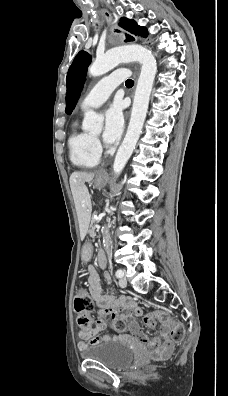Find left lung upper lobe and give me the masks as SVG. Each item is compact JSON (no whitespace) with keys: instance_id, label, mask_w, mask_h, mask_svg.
I'll return each mask as SVG.
<instances>
[{"instance_id":"1","label":"left lung upper lobe","mask_w":228,"mask_h":396,"mask_svg":"<svg viewBox=\"0 0 228 396\" xmlns=\"http://www.w3.org/2000/svg\"><path fill=\"white\" fill-rule=\"evenodd\" d=\"M120 23L118 24L122 28L131 32L134 35H140L142 37H146L148 35L146 28L137 25L134 20L121 18ZM133 37L131 35H126V42L133 41ZM91 62V56L85 52L80 51L74 58L72 65L69 68L66 84H67V93H66V113L71 114L75 105L79 99L81 94L85 77L87 74V68Z\"/></svg>"}]
</instances>
